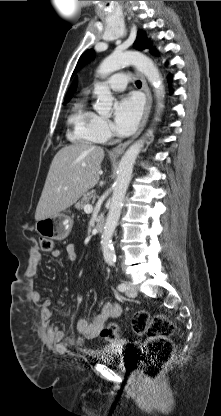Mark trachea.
<instances>
[{
  "label": "trachea",
  "mask_w": 221,
  "mask_h": 416,
  "mask_svg": "<svg viewBox=\"0 0 221 416\" xmlns=\"http://www.w3.org/2000/svg\"><path fill=\"white\" fill-rule=\"evenodd\" d=\"M136 86L141 87V81L140 80L136 81Z\"/></svg>",
  "instance_id": "3493384b"
}]
</instances>
